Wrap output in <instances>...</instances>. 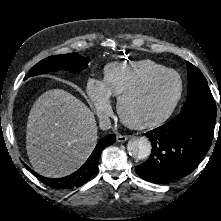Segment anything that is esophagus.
<instances>
[{
  "label": "esophagus",
  "mask_w": 221,
  "mask_h": 221,
  "mask_svg": "<svg viewBox=\"0 0 221 221\" xmlns=\"http://www.w3.org/2000/svg\"><path fill=\"white\" fill-rule=\"evenodd\" d=\"M129 139V136L126 135H117V141L118 142H125Z\"/></svg>",
  "instance_id": "34e87169"
}]
</instances>
